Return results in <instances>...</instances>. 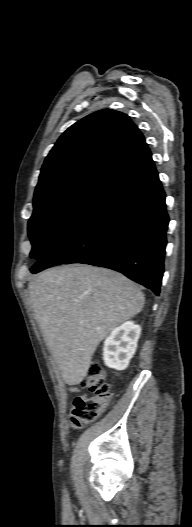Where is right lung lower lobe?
Listing matches in <instances>:
<instances>
[{
    "label": "right lung lower lobe",
    "mask_w": 192,
    "mask_h": 527,
    "mask_svg": "<svg viewBox=\"0 0 192 527\" xmlns=\"http://www.w3.org/2000/svg\"><path fill=\"white\" fill-rule=\"evenodd\" d=\"M168 222L165 193L147 147L107 181L30 271L90 264L119 271L159 295Z\"/></svg>",
    "instance_id": "1"
}]
</instances>
